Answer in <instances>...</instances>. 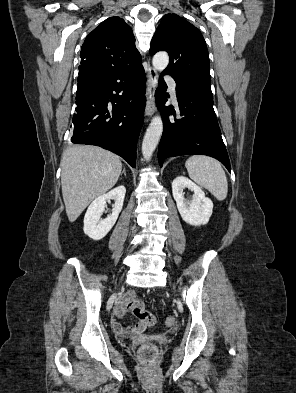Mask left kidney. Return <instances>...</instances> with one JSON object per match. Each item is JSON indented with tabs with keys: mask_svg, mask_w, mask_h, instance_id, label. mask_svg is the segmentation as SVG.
Listing matches in <instances>:
<instances>
[{
	"mask_svg": "<svg viewBox=\"0 0 296 393\" xmlns=\"http://www.w3.org/2000/svg\"><path fill=\"white\" fill-rule=\"evenodd\" d=\"M185 188L194 192L193 200L184 198ZM172 194L176 201L178 211L182 219L193 226H201L208 223L212 215L213 202L205 196L203 190L186 177H176L172 182Z\"/></svg>",
	"mask_w": 296,
	"mask_h": 393,
	"instance_id": "obj_1",
	"label": "left kidney"
}]
</instances>
